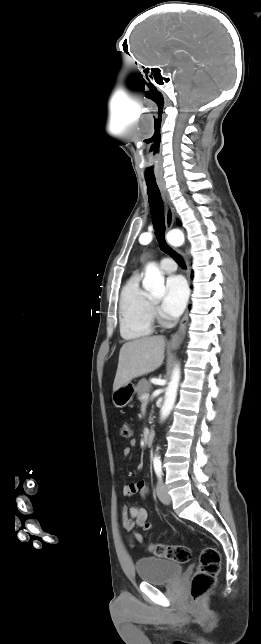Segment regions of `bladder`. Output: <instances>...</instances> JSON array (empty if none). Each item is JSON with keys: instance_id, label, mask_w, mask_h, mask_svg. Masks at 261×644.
Listing matches in <instances>:
<instances>
[{"instance_id": "1", "label": "bladder", "mask_w": 261, "mask_h": 644, "mask_svg": "<svg viewBox=\"0 0 261 644\" xmlns=\"http://www.w3.org/2000/svg\"><path fill=\"white\" fill-rule=\"evenodd\" d=\"M135 569L141 581L156 585L172 583L183 571L179 563L153 556L138 559Z\"/></svg>"}]
</instances>
